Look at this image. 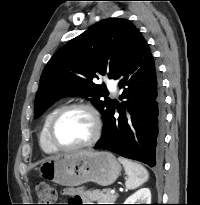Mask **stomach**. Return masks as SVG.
I'll use <instances>...</instances> for the list:
<instances>
[{
  "mask_svg": "<svg viewBox=\"0 0 200 205\" xmlns=\"http://www.w3.org/2000/svg\"><path fill=\"white\" fill-rule=\"evenodd\" d=\"M39 171L47 180L66 187L86 182L108 186L120 175L121 166L110 152L79 150L45 160Z\"/></svg>",
  "mask_w": 200,
  "mask_h": 205,
  "instance_id": "0dacf381",
  "label": "stomach"
}]
</instances>
